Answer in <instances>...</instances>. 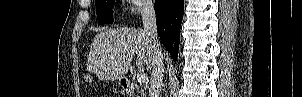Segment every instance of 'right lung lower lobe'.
<instances>
[{
	"label": "right lung lower lobe",
	"mask_w": 302,
	"mask_h": 97,
	"mask_svg": "<svg viewBox=\"0 0 302 97\" xmlns=\"http://www.w3.org/2000/svg\"><path fill=\"white\" fill-rule=\"evenodd\" d=\"M157 31L163 45L177 59L184 0H155Z\"/></svg>",
	"instance_id": "right-lung-lower-lobe-1"
}]
</instances>
